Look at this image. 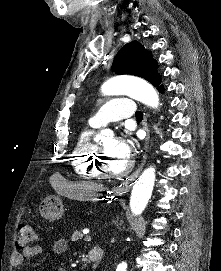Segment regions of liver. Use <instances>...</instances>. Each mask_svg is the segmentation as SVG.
I'll return each mask as SVG.
<instances>
[{"label": "liver", "mask_w": 221, "mask_h": 271, "mask_svg": "<svg viewBox=\"0 0 221 271\" xmlns=\"http://www.w3.org/2000/svg\"><path fill=\"white\" fill-rule=\"evenodd\" d=\"M54 189H58L57 185H53ZM66 189L63 195L71 197V199H79V201H95L96 191L105 189L102 183H94V181H79V183H66ZM62 193V191H58Z\"/></svg>", "instance_id": "6515ba94"}]
</instances>
